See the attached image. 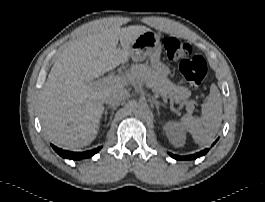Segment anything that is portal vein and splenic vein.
<instances>
[{
    "mask_svg": "<svg viewBox=\"0 0 265 202\" xmlns=\"http://www.w3.org/2000/svg\"><path fill=\"white\" fill-rule=\"evenodd\" d=\"M126 81V77L123 75H108L102 79L96 80L94 82H92L93 85L95 86H105V85H110V84H117V83H121V82H125ZM187 107H193V103L191 102H187L184 103ZM183 105V104H182Z\"/></svg>",
    "mask_w": 265,
    "mask_h": 202,
    "instance_id": "portal-vein-and-splenic-vein-1",
    "label": "portal vein and splenic vein"
}]
</instances>
